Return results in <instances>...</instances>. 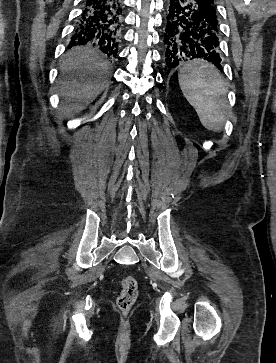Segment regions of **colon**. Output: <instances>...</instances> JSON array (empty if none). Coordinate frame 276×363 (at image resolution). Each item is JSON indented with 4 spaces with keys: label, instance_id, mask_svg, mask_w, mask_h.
Masks as SVG:
<instances>
[{
    "label": "colon",
    "instance_id": "colon-1",
    "mask_svg": "<svg viewBox=\"0 0 276 363\" xmlns=\"http://www.w3.org/2000/svg\"><path fill=\"white\" fill-rule=\"evenodd\" d=\"M121 292L117 298V306L124 315L128 314L138 297V282L133 276L126 275L121 279Z\"/></svg>",
    "mask_w": 276,
    "mask_h": 363
}]
</instances>
